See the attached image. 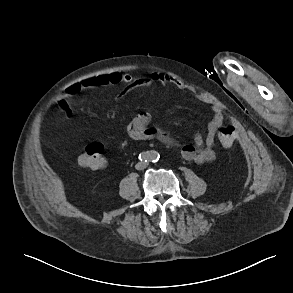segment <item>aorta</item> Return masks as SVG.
Masks as SVG:
<instances>
[{"label": "aorta", "instance_id": "762f6f07", "mask_svg": "<svg viewBox=\"0 0 293 293\" xmlns=\"http://www.w3.org/2000/svg\"><path fill=\"white\" fill-rule=\"evenodd\" d=\"M158 157V154H157V152H155V151H153V152H151V154H150V158L151 159H156Z\"/></svg>", "mask_w": 293, "mask_h": 293}]
</instances>
